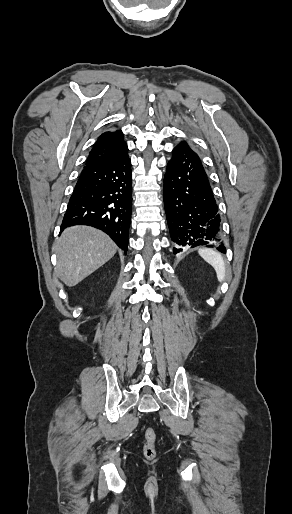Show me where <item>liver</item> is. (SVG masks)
<instances>
[{
    "mask_svg": "<svg viewBox=\"0 0 292 514\" xmlns=\"http://www.w3.org/2000/svg\"><path fill=\"white\" fill-rule=\"evenodd\" d=\"M53 250L57 254L55 272L66 286L72 288L111 260L117 246L101 230L73 226L64 230Z\"/></svg>",
    "mask_w": 292,
    "mask_h": 514,
    "instance_id": "1",
    "label": "liver"
}]
</instances>
